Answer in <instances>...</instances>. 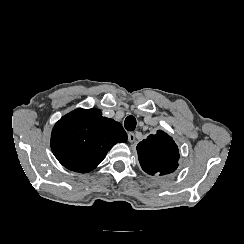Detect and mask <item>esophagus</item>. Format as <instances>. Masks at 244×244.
I'll return each mask as SVG.
<instances>
[{"label":"esophagus","instance_id":"obj_1","mask_svg":"<svg viewBox=\"0 0 244 244\" xmlns=\"http://www.w3.org/2000/svg\"><path fill=\"white\" fill-rule=\"evenodd\" d=\"M128 141L133 143L135 141V134L133 132H128Z\"/></svg>","mask_w":244,"mask_h":244}]
</instances>
